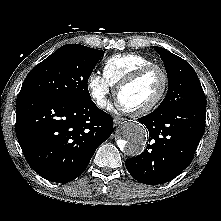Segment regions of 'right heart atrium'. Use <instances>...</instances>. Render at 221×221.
Wrapping results in <instances>:
<instances>
[{
  "instance_id": "d8ad5b80",
  "label": "right heart atrium",
  "mask_w": 221,
  "mask_h": 221,
  "mask_svg": "<svg viewBox=\"0 0 221 221\" xmlns=\"http://www.w3.org/2000/svg\"><path fill=\"white\" fill-rule=\"evenodd\" d=\"M87 86L96 105L101 109L106 108L112 86L104 75L98 72H91L87 80Z\"/></svg>"
}]
</instances>
